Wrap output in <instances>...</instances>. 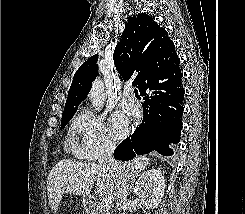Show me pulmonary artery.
<instances>
[{
	"mask_svg": "<svg viewBox=\"0 0 245 214\" xmlns=\"http://www.w3.org/2000/svg\"><path fill=\"white\" fill-rule=\"evenodd\" d=\"M121 105L123 109L130 115H135L138 111V107L130 91L124 92L123 96L121 97Z\"/></svg>",
	"mask_w": 245,
	"mask_h": 214,
	"instance_id": "pulmonary-artery-1",
	"label": "pulmonary artery"
}]
</instances>
